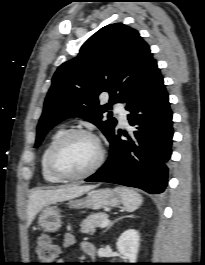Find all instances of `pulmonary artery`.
<instances>
[{
    "mask_svg": "<svg viewBox=\"0 0 205 265\" xmlns=\"http://www.w3.org/2000/svg\"><path fill=\"white\" fill-rule=\"evenodd\" d=\"M115 112L118 114L120 118V122L122 124H127V111L123 104L117 103L114 108Z\"/></svg>",
    "mask_w": 205,
    "mask_h": 265,
    "instance_id": "1",
    "label": "pulmonary artery"
}]
</instances>
